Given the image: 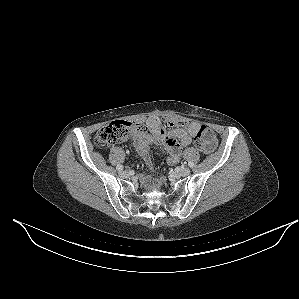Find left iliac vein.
<instances>
[{
	"label": "left iliac vein",
	"mask_w": 299,
	"mask_h": 299,
	"mask_svg": "<svg viewBox=\"0 0 299 299\" xmlns=\"http://www.w3.org/2000/svg\"><path fill=\"white\" fill-rule=\"evenodd\" d=\"M190 172H191L190 169L185 167V168L180 169L178 173L180 176L186 177L190 174Z\"/></svg>",
	"instance_id": "obj_1"
}]
</instances>
